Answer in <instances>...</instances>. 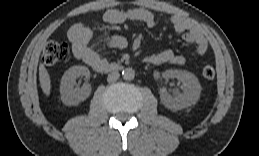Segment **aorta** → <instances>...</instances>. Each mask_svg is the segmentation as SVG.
I'll return each mask as SVG.
<instances>
[{
  "instance_id": "obj_1",
  "label": "aorta",
  "mask_w": 259,
  "mask_h": 156,
  "mask_svg": "<svg viewBox=\"0 0 259 156\" xmlns=\"http://www.w3.org/2000/svg\"><path fill=\"white\" fill-rule=\"evenodd\" d=\"M122 77L127 81L133 80L135 77V71L132 68H125L122 71Z\"/></svg>"
}]
</instances>
